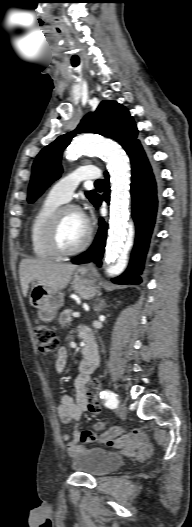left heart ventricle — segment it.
<instances>
[{
    "instance_id": "left-heart-ventricle-1",
    "label": "left heart ventricle",
    "mask_w": 192,
    "mask_h": 527,
    "mask_svg": "<svg viewBox=\"0 0 192 527\" xmlns=\"http://www.w3.org/2000/svg\"><path fill=\"white\" fill-rule=\"evenodd\" d=\"M86 233L87 225L82 220L80 213L67 212L59 225L58 242L61 247L71 249L83 241Z\"/></svg>"
}]
</instances>
